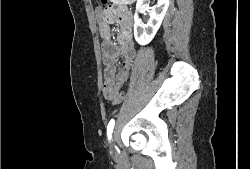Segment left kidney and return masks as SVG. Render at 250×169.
<instances>
[{
  "mask_svg": "<svg viewBox=\"0 0 250 169\" xmlns=\"http://www.w3.org/2000/svg\"><path fill=\"white\" fill-rule=\"evenodd\" d=\"M169 4V0H157L155 8L149 10L150 6L146 0H137L134 14V36L139 44H148L154 38L168 10ZM144 10H148L150 16L147 24H143L140 18H138V12H144Z\"/></svg>",
  "mask_w": 250,
  "mask_h": 169,
  "instance_id": "left-kidney-1",
  "label": "left kidney"
}]
</instances>
